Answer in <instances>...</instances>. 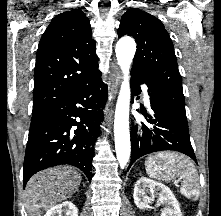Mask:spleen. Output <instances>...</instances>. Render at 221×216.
<instances>
[{
    "mask_svg": "<svg viewBox=\"0 0 221 216\" xmlns=\"http://www.w3.org/2000/svg\"><path fill=\"white\" fill-rule=\"evenodd\" d=\"M145 169L149 177L168 181L183 179L181 193L187 198L198 197L199 177L194 164L177 153L160 152L150 155L145 161Z\"/></svg>",
    "mask_w": 221,
    "mask_h": 216,
    "instance_id": "obj_1",
    "label": "spleen"
}]
</instances>
